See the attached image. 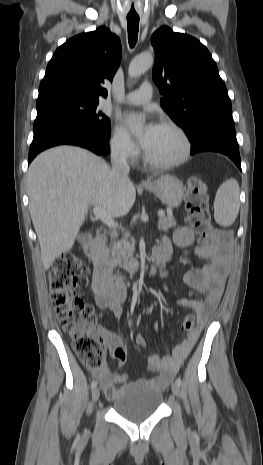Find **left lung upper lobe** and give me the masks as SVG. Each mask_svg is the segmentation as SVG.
<instances>
[{
    "label": "left lung upper lobe",
    "mask_w": 263,
    "mask_h": 465,
    "mask_svg": "<svg viewBox=\"0 0 263 465\" xmlns=\"http://www.w3.org/2000/svg\"><path fill=\"white\" fill-rule=\"evenodd\" d=\"M156 57L153 80L161 106L190 141L216 122L234 123L226 86L207 48L167 26L151 37Z\"/></svg>",
    "instance_id": "1"
}]
</instances>
